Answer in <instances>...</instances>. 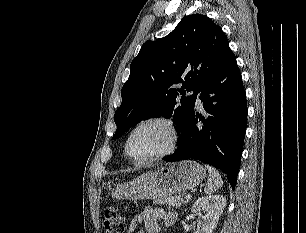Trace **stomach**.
Masks as SVG:
<instances>
[{
  "mask_svg": "<svg viewBox=\"0 0 306 233\" xmlns=\"http://www.w3.org/2000/svg\"><path fill=\"white\" fill-rule=\"evenodd\" d=\"M206 177V169L192 160L143 174L112 190L115 199H161L192 189Z\"/></svg>",
  "mask_w": 306,
  "mask_h": 233,
  "instance_id": "0dacf381",
  "label": "stomach"
}]
</instances>
